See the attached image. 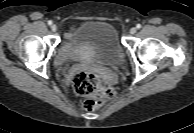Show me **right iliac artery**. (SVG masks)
I'll list each match as a JSON object with an SVG mask.
<instances>
[{"label":"right iliac artery","mask_w":194,"mask_h":133,"mask_svg":"<svg viewBox=\"0 0 194 133\" xmlns=\"http://www.w3.org/2000/svg\"><path fill=\"white\" fill-rule=\"evenodd\" d=\"M48 25H52V21H48Z\"/></svg>","instance_id":"right-iliac-artery-1"}]
</instances>
